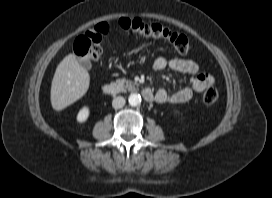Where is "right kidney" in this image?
I'll list each match as a JSON object with an SVG mask.
<instances>
[{"label":"right kidney","instance_id":"obj_1","mask_svg":"<svg viewBox=\"0 0 272 198\" xmlns=\"http://www.w3.org/2000/svg\"><path fill=\"white\" fill-rule=\"evenodd\" d=\"M89 114H90L89 108L86 107V106L83 107V108L78 112V114H77V121H78L79 123L85 122V121L88 119Z\"/></svg>","mask_w":272,"mask_h":198}]
</instances>
